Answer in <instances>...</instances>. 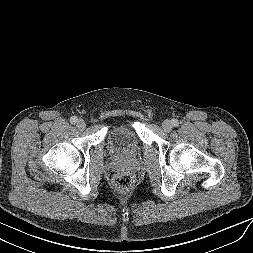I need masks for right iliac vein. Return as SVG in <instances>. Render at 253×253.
Listing matches in <instances>:
<instances>
[{
	"mask_svg": "<svg viewBox=\"0 0 253 253\" xmlns=\"http://www.w3.org/2000/svg\"><path fill=\"white\" fill-rule=\"evenodd\" d=\"M78 129L83 130L86 128V123L83 119H79L76 123Z\"/></svg>",
	"mask_w": 253,
	"mask_h": 253,
	"instance_id": "63e3f726",
	"label": "right iliac vein"
}]
</instances>
